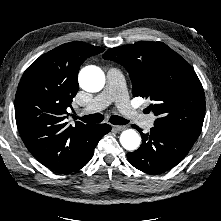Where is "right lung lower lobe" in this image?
<instances>
[{
	"mask_svg": "<svg viewBox=\"0 0 221 221\" xmlns=\"http://www.w3.org/2000/svg\"><path fill=\"white\" fill-rule=\"evenodd\" d=\"M110 131L111 126L108 124H95L77 141L74 152L70 156L61 163L49 167V169L63 174L81 169L93 157L94 149L99 140Z\"/></svg>",
	"mask_w": 221,
	"mask_h": 221,
	"instance_id": "1",
	"label": "right lung lower lobe"
}]
</instances>
